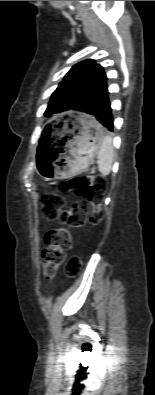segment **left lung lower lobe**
<instances>
[{"label": "left lung lower lobe", "mask_w": 155, "mask_h": 395, "mask_svg": "<svg viewBox=\"0 0 155 395\" xmlns=\"http://www.w3.org/2000/svg\"><path fill=\"white\" fill-rule=\"evenodd\" d=\"M106 80L85 98L80 111L91 115L100 126L103 125L109 131H113V117Z\"/></svg>", "instance_id": "left-lung-lower-lobe-1"}]
</instances>
